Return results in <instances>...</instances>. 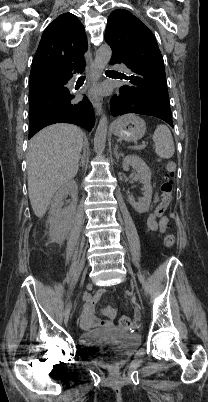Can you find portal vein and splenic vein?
Returning <instances> with one entry per match:
<instances>
[{
	"mask_svg": "<svg viewBox=\"0 0 208 402\" xmlns=\"http://www.w3.org/2000/svg\"><path fill=\"white\" fill-rule=\"evenodd\" d=\"M130 148H131V149H135V150H138V148L146 149V148H147V145L145 144V142H142L141 145L131 144V145H130Z\"/></svg>",
	"mask_w": 208,
	"mask_h": 402,
	"instance_id": "obj_1",
	"label": "portal vein and splenic vein"
}]
</instances>
